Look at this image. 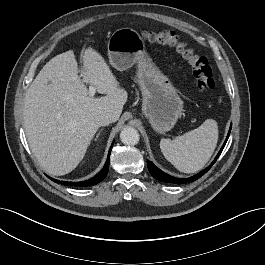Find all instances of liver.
<instances>
[{
	"instance_id": "liver-1",
	"label": "liver",
	"mask_w": 265,
	"mask_h": 265,
	"mask_svg": "<svg viewBox=\"0 0 265 265\" xmlns=\"http://www.w3.org/2000/svg\"><path fill=\"white\" fill-rule=\"evenodd\" d=\"M81 59L84 70L79 71L72 50L53 57L25 94L27 140L41 167L51 175L74 170L98 130L96 116L106 112L115 122L127 101V92L100 53L88 47ZM85 83L106 96H90Z\"/></svg>"
}]
</instances>
